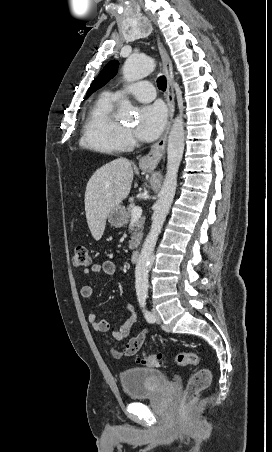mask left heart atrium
Returning a JSON list of instances; mask_svg holds the SVG:
<instances>
[{
  "instance_id": "1",
  "label": "left heart atrium",
  "mask_w": 272,
  "mask_h": 452,
  "mask_svg": "<svg viewBox=\"0 0 272 452\" xmlns=\"http://www.w3.org/2000/svg\"><path fill=\"white\" fill-rule=\"evenodd\" d=\"M165 123L166 110L162 104L144 106L139 112L136 133L143 140H154L161 134Z\"/></svg>"
}]
</instances>
